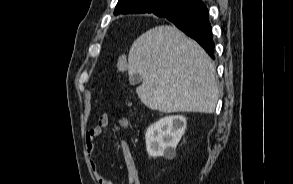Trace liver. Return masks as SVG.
Returning <instances> with one entry per match:
<instances>
[{
	"mask_svg": "<svg viewBox=\"0 0 293 184\" xmlns=\"http://www.w3.org/2000/svg\"><path fill=\"white\" fill-rule=\"evenodd\" d=\"M129 76L143 80L141 102L163 113H213L219 90L215 67L204 49L175 26H156L132 44Z\"/></svg>",
	"mask_w": 293,
	"mask_h": 184,
	"instance_id": "obj_1",
	"label": "liver"
}]
</instances>
